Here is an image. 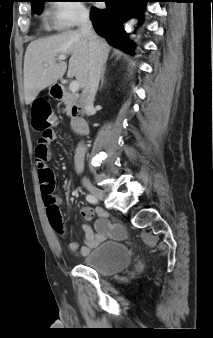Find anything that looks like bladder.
Segmentation results:
<instances>
[{
	"instance_id": "1",
	"label": "bladder",
	"mask_w": 213,
	"mask_h": 338,
	"mask_svg": "<svg viewBox=\"0 0 213 338\" xmlns=\"http://www.w3.org/2000/svg\"><path fill=\"white\" fill-rule=\"evenodd\" d=\"M132 263L129 249L122 242H103L91 250L83 265L100 276H110L125 270Z\"/></svg>"
}]
</instances>
